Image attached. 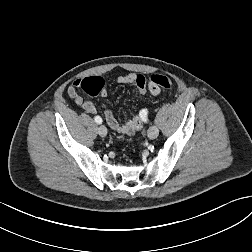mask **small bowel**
<instances>
[{
  "label": "small bowel",
  "instance_id": "1",
  "mask_svg": "<svg viewBox=\"0 0 252 252\" xmlns=\"http://www.w3.org/2000/svg\"><path fill=\"white\" fill-rule=\"evenodd\" d=\"M136 74L130 73V74H125L121 75L118 77V81L122 84H128L131 86H136L135 81H136ZM80 83L81 79H76L68 88H67V94L69 97H71L75 104L82 107L83 110L88 113V114H95L96 113V108L94 104L91 101L84 100L78 93V89L80 88ZM148 89L150 93L154 96L158 95L160 90L158 86L155 84L150 83L148 85ZM108 95V89L106 87L103 88L101 91V96L102 97H107ZM104 115H105V120L109 127L122 134L126 135H132L142 127V122L141 119L138 116H134L130 120H128L125 123L119 122L117 116L115 113H113L110 109L106 108L104 106Z\"/></svg>",
  "mask_w": 252,
  "mask_h": 252
}]
</instances>
